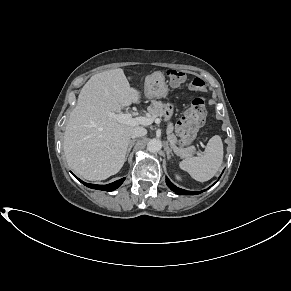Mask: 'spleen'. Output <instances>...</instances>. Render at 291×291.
I'll return each mask as SVG.
<instances>
[{"mask_svg": "<svg viewBox=\"0 0 291 291\" xmlns=\"http://www.w3.org/2000/svg\"><path fill=\"white\" fill-rule=\"evenodd\" d=\"M223 162V143L219 135L213 136L207 143L202 155L182 160L180 168L188 172L199 182L210 180L216 175Z\"/></svg>", "mask_w": 291, "mask_h": 291, "instance_id": "3e777b00", "label": "spleen"}]
</instances>
